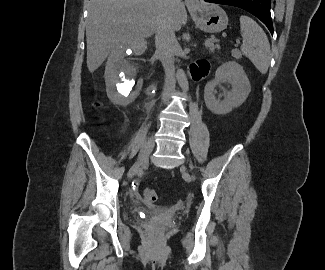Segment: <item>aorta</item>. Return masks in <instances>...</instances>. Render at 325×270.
<instances>
[{
  "label": "aorta",
  "mask_w": 325,
  "mask_h": 270,
  "mask_svg": "<svg viewBox=\"0 0 325 270\" xmlns=\"http://www.w3.org/2000/svg\"><path fill=\"white\" fill-rule=\"evenodd\" d=\"M176 79L183 92L186 93L189 90V84L185 72L182 69L177 70Z\"/></svg>",
  "instance_id": "aorta-1"
}]
</instances>
